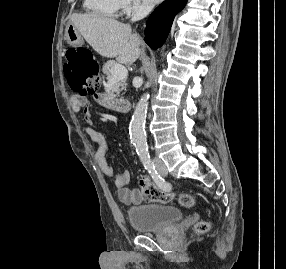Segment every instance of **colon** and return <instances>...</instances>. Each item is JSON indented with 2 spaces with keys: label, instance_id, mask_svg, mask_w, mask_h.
Instances as JSON below:
<instances>
[{
  "label": "colon",
  "instance_id": "1",
  "mask_svg": "<svg viewBox=\"0 0 286 269\" xmlns=\"http://www.w3.org/2000/svg\"><path fill=\"white\" fill-rule=\"evenodd\" d=\"M67 80L71 87L81 94H94L98 86V66L92 53L86 48L69 49L67 51V63L65 67ZM139 190L143 198L156 201L167 202L170 197L164 194L151 180L145 175L140 176ZM180 201L185 206L194 203V197L184 194ZM209 228L208 222H200L196 231L203 233Z\"/></svg>",
  "mask_w": 286,
  "mask_h": 269
}]
</instances>
